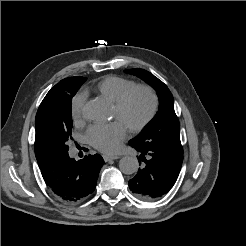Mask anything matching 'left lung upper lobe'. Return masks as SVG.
Here are the masks:
<instances>
[{
	"label": "left lung upper lobe",
	"mask_w": 246,
	"mask_h": 246,
	"mask_svg": "<svg viewBox=\"0 0 246 246\" xmlns=\"http://www.w3.org/2000/svg\"><path fill=\"white\" fill-rule=\"evenodd\" d=\"M151 85L158 93L159 109L146 129L129 144L136 149L157 148L176 155H183L180 141V124L174 111V99L168 87L150 72L143 69H129Z\"/></svg>",
	"instance_id": "1"
}]
</instances>
